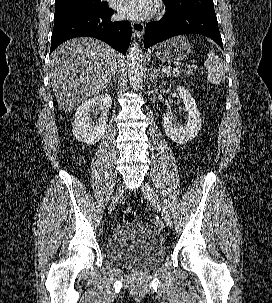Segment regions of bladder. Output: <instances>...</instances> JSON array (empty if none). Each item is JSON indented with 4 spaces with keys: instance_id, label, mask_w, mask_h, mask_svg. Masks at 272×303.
<instances>
[{
    "instance_id": "bladder-1",
    "label": "bladder",
    "mask_w": 272,
    "mask_h": 303,
    "mask_svg": "<svg viewBox=\"0 0 272 303\" xmlns=\"http://www.w3.org/2000/svg\"><path fill=\"white\" fill-rule=\"evenodd\" d=\"M105 251L110 261L137 271L157 266L166 255L161 234L142 222L121 226L107 239Z\"/></svg>"
}]
</instances>
